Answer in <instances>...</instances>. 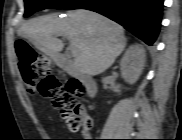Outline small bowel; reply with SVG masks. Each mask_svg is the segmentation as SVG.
<instances>
[{
  "label": "small bowel",
  "instance_id": "1",
  "mask_svg": "<svg viewBox=\"0 0 182 140\" xmlns=\"http://www.w3.org/2000/svg\"><path fill=\"white\" fill-rule=\"evenodd\" d=\"M81 134H82V136L85 137V138H87V137L89 136L88 130H82V131H81ZM83 140H88V139H83Z\"/></svg>",
  "mask_w": 182,
  "mask_h": 140
}]
</instances>
